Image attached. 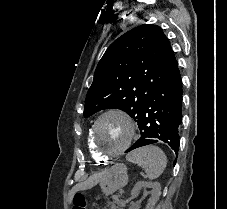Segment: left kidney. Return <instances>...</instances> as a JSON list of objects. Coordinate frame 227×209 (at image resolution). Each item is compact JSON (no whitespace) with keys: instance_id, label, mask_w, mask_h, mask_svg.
<instances>
[{"instance_id":"left-kidney-1","label":"left kidney","mask_w":227,"mask_h":209,"mask_svg":"<svg viewBox=\"0 0 227 209\" xmlns=\"http://www.w3.org/2000/svg\"><path fill=\"white\" fill-rule=\"evenodd\" d=\"M141 189H152L151 197L148 201V205H146V209H154L161 195L160 183H147V181H139V183H136V185H134L131 191V195H137V193H139Z\"/></svg>"}]
</instances>
